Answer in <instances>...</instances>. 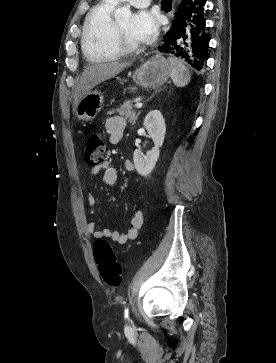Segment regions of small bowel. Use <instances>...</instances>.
Returning a JSON list of instances; mask_svg holds the SVG:
<instances>
[{"instance_id": "c3829d8e", "label": "small bowel", "mask_w": 276, "mask_h": 363, "mask_svg": "<svg viewBox=\"0 0 276 363\" xmlns=\"http://www.w3.org/2000/svg\"><path fill=\"white\" fill-rule=\"evenodd\" d=\"M105 130L108 134L109 140L112 144H116L120 141L123 133L126 130V121L121 116H111L105 121ZM124 168L129 171H134V165L130 161H125ZM92 176H96L102 173V181L108 186H114L118 182V172L114 167H111L108 162H104L102 165L95 166L90 171ZM87 202L89 204L90 218L86 221V233L96 239L108 238L118 244H125L128 241L135 240L138 237L139 231L143 225V212L138 204L130 217L129 227L125 233H120L117 230L110 228L98 229L96 228L93 220L95 213L96 201L92 194L87 193Z\"/></svg>"}]
</instances>
